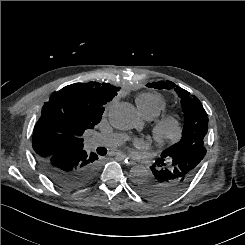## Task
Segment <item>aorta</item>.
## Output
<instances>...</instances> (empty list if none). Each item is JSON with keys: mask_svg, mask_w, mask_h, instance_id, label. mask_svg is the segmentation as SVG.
I'll return each mask as SVG.
<instances>
[{"mask_svg": "<svg viewBox=\"0 0 245 245\" xmlns=\"http://www.w3.org/2000/svg\"><path fill=\"white\" fill-rule=\"evenodd\" d=\"M109 121L113 127L119 130H130L140 124V118L135 107L126 102H119L109 110ZM133 182L140 183L151 177V171L142 166L133 167L130 170Z\"/></svg>", "mask_w": 245, "mask_h": 245, "instance_id": "obj_1", "label": "aorta"}]
</instances>
